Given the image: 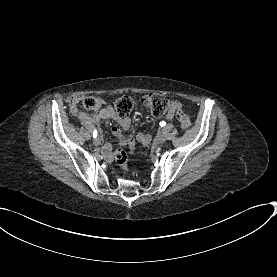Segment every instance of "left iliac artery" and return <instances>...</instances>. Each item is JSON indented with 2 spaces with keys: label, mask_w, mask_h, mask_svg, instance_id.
I'll return each mask as SVG.
<instances>
[{
  "label": "left iliac artery",
  "mask_w": 277,
  "mask_h": 277,
  "mask_svg": "<svg viewBox=\"0 0 277 277\" xmlns=\"http://www.w3.org/2000/svg\"><path fill=\"white\" fill-rule=\"evenodd\" d=\"M165 125H166V122H165V121H161V122H160V126H161V127H164Z\"/></svg>",
  "instance_id": "1"
}]
</instances>
